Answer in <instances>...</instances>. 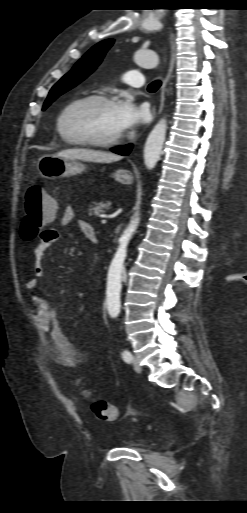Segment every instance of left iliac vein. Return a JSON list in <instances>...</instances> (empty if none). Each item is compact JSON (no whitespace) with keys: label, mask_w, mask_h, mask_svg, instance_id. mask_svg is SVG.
I'll return each instance as SVG.
<instances>
[{"label":"left iliac vein","mask_w":247,"mask_h":513,"mask_svg":"<svg viewBox=\"0 0 247 513\" xmlns=\"http://www.w3.org/2000/svg\"><path fill=\"white\" fill-rule=\"evenodd\" d=\"M133 368L137 373H140L142 371L140 363L135 357H133Z\"/></svg>","instance_id":"left-iliac-vein-1"}]
</instances>
